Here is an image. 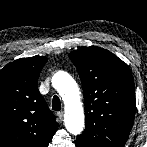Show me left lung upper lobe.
Returning <instances> with one entry per match:
<instances>
[{
	"label": "left lung upper lobe",
	"instance_id": "1",
	"mask_svg": "<svg viewBox=\"0 0 147 147\" xmlns=\"http://www.w3.org/2000/svg\"><path fill=\"white\" fill-rule=\"evenodd\" d=\"M83 86L84 132L79 147H124L136 109L134 80L128 66L110 51L82 47L69 54Z\"/></svg>",
	"mask_w": 147,
	"mask_h": 147
}]
</instances>
